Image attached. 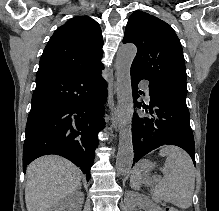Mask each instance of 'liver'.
Listing matches in <instances>:
<instances>
[{
	"mask_svg": "<svg viewBox=\"0 0 219 211\" xmlns=\"http://www.w3.org/2000/svg\"><path fill=\"white\" fill-rule=\"evenodd\" d=\"M25 203L28 211H50L61 197L81 187V169L60 155H42L26 169Z\"/></svg>",
	"mask_w": 219,
	"mask_h": 211,
	"instance_id": "1",
	"label": "liver"
}]
</instances>
